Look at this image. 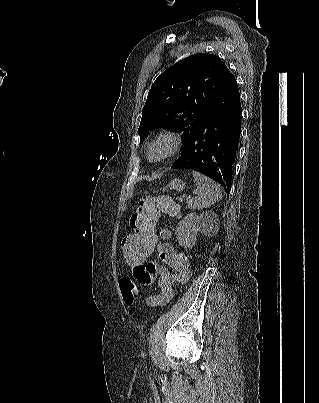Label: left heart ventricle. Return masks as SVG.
I'll return each instance as SVG.
<instances>
[{"label":"left heart ventricle","instance_id":"b2bd125f","mask_svg":"<svg viewBox=\"0 0 319 403\" xmlns=\"http://www.w3.org/2000/svg\"><path fill=\"white\" fill-rule=\"evenodd\" d=\"M164 150H165V146L163 144L157 145V146L153 147V149L151 151V155L153 158H157L163 154Z\"/></svg>","mask_w":319,"mask_h":403}]
</instances>
